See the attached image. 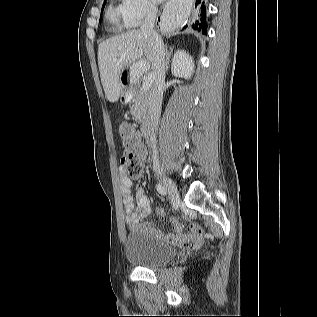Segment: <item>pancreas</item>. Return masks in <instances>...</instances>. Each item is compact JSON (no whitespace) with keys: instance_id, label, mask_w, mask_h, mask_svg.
Wrapping results in <instances>:
<instances>
[{"instance_id":"obj_1","label":"pancreas","mask_w":317,"mask_h":317,"mask_svg":"<svg viewBox=\"0 0 317 317\" xmlns=\"http://www.w3.org/2000/svg\"><path fill=\"white\" fill-rule=\"evenodd\" d=\"M129 94L132 96L131 114L142 121L147 110L146 93L141 87L132 86Z\"/></svg>"}]
</instances>
